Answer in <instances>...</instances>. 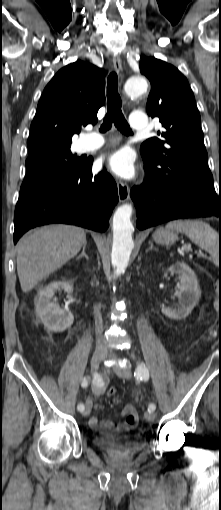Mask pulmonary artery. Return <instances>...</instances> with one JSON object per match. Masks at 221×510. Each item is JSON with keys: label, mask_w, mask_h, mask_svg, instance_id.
<instances>
[{"label": "pulmonary artery", "mask_w": 221, "mask_h": 510, "mask_svg": "<svg viewBox=\"0 0 221 510\" xmlns=\"http://www.w3.org/2000/svg\"><path fill=\"white\" fill-rule=\"evenodd\" d=\"M129 122L133 129L144 130L147 126L146 116L142 112H133ZM104 142L105 139L98 133H90L86 138L83 149L85 151H92L100 148Z\"/></svg>", "instance_id": "e3ab8cb5"}]
</instances>
